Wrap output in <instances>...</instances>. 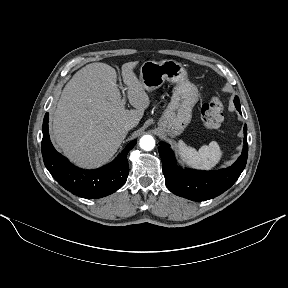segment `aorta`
<instances>
[{
  "label": "aorta",
  "instance_id": "obj_1",
  "mask_svg": "<svg viewBox=\"0 0 288 288\" xmlns=\"http://www.w3.org/2000/svg\"><path fill=\"white\" fill-rule=\"evenodd\" d=\"M139 145L144 151H151L155 147V140L151 135H144L141 137Z\"/></svg>",
  "mask_w": 288,
  "mask_h": 288
}]
</instances>
